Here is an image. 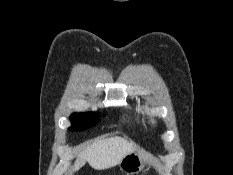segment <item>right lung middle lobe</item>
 Here are the masks:
<instances>
[{"mask_svg": "<svg viewBox=\"0 0 233 175\" xmlns=\"http://www.w3.org/2000/svg\"><path fill=\"white\" fill-rule=\"evenodd\" d=\"M97 113H74L70 116L72 126L69 130L81 131L95 125L98 121Z\"/></svg>", "mask_w": 233, "mask_h": 175, "instance_id": "dd1d6c3e", "label": "right lung middle lobe"}]
</instances>
